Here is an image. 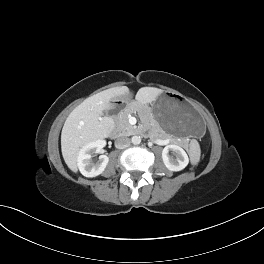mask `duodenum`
Wrapping results in <instances>:
<instances>
[{"label":"duodenum","mask_w":264,"mask_h":264,"mask_svg":"<svg viewBox=\"0 0 264 264\" xmlns=\"http://www.w3.org/2000/svg\"><path fill=\"white\" fill-rule=\"evenodd\" d=\"M119 134V132L117 131V130H114L113 132H112V136H117Z\"/></svg>","instance_id":"410a0bca"}]
</instances>
